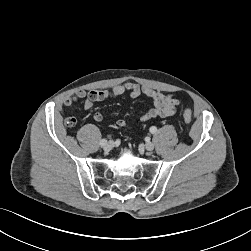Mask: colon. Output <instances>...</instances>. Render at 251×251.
<instances>
[{
    "label": "colon",
    "instance_id": "1",
    "mask_svg": "<svg viewBox=\"0 0 251 251\" xmlns=\"http://www.w3.org/2000/svg\"><path fill=\"white\" fill-rule=\"evenodd\" d=\"M183 118L186 123H191L192 121V112L190 109H185L183 111ZM76 123L75 117H68L65 119V124L69 127L74 126Z\"/></svg>",
    "mask_w": 251,
    "mask_h": 251
}]
</instances>
